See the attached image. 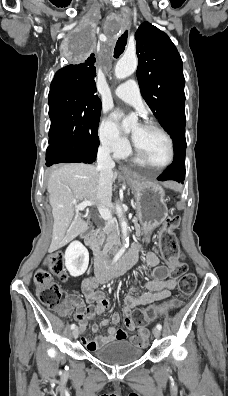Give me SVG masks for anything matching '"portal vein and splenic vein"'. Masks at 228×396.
Wrapping results in <instances>:
<instances>
[{"label":"portal vein and splenic vein","instance_id":"portal-vein-and-splenic-vein-1","mask_svg":"<svg viewBox=\"0 0 228 396\" xmlns=\"http://www.w3.org/2000/svg\"><path fill=\"white\" fill-rule=\"evenodd\" d=\"M92 205H93V203L91 201L85 200L79 204H75V209L78 211H83L87 206H92ZM99 211H100V214L104 220H107L110 223L114 222L111 212L108 209L100 207Z\"/></svg>","mask_w":228,"mask_h":396}]
</instances>
